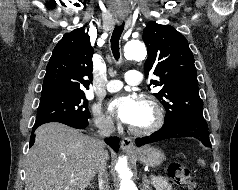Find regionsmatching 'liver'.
<instances>
[{"label":"liver","mask_w":238,"mask_h":190,"mask_svg":"<svg viewBox=\"0 0 238 190\" xmlns=\"http://www.w3.org/2000/svg\"><path fill=\"white\" fill-rule=\"evenodd\" d=\"M35 135L25 190H85L97 172V139L57 122L41 125Z\"/></svg>","instance_id":"obj_1"}]
</instances>
